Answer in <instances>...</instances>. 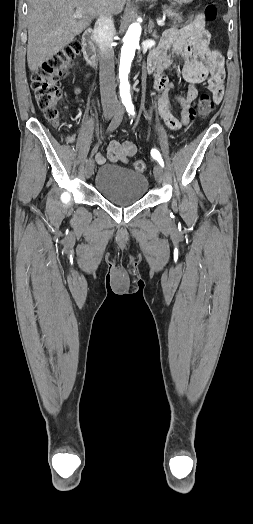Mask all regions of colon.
I'll use <instances>...</instances> for the list:
<instances>
[{
	"label": "colon",
	"mask_w": 253,
	"mask_h": 524,
	"mask_svg": "<svg viewBox=\"0 0 253 524\" xmlns=\"http://www.w3.org/2000/svg\"><path fill=\"white\" fill-rule=\"evenodd\" d=\"M216 7L209 3L205 10L204 16L208 21L216 18ZM82 49V43L79 40H73L55 56L44 62L31 76V87L34 92L38 107L43 112L45 118L53 125H60L59 101L62 97L60 79L65 75L73 61L78 57ZM74 91L77 94L82 93L83 88L78 81L72 83ZM198 113L201 117H207L212 111L210 96L203 93L199 98ZM68 141L72 138L68 137ZM147 168L145 161L136 160L134 169L143 172Z\"/></svg>",
	"instance_id": "obj_1"
}]
</instances>
